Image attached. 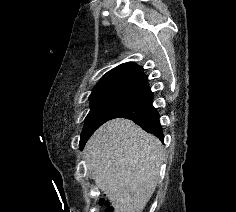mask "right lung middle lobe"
<instances>
[{"label":"right lung middle lobe","instance_id":"right-lung-middle-lobe-1","mask_svg":"<svg viewBox=\"0 0 236 212\" xmlns=\"http://www.w3.org/2000/svg\"><path fill=\"white\" fill-rule=\"evenodd\" d=\"M130 91H120L89 98L90 112L85 118L79 146L82 149L94 131L106 122L128 97Z\"/></svg>","mask_w":236,"mask_h":212}]
</instances>
